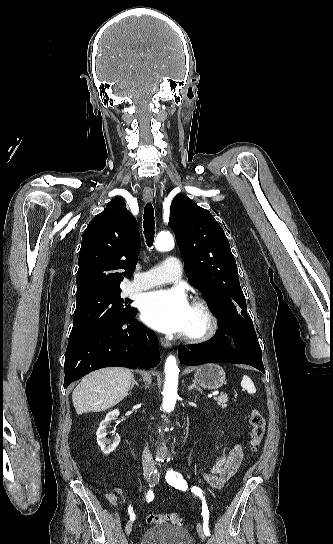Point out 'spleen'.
Listing matches in <instances>:
<instances>
[{"label":"spleen","mask_w":333,"mask_h":544,"mask_svg":"<svg viewBox=\"0 0 333 544\" xmlns=\"http://www.w3.org/2000/svg\"><path fill=\"white\" fill-rule=\"evenodd\" d=\"M241 386L247 390L249 394H254L256 392L255 386L252 380L248 376H243L241 381Z\"/></svg>","instance_id":"3e777b00"}]
</instances>
